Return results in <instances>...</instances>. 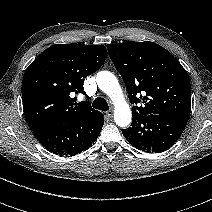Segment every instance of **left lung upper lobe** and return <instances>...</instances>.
Listing matches in <instances>:
<instances>
[{"mask_svg": "<svg viewBox=\"0 0 212 212\" xmlns=\"http://www.w3.org/2000/svg\"><path fill=\"white\" fill-rule=\"evenodd\" d=\"M121 74L133 116L170 115L189 118L191 87L187 72L166 49L153 42L107 45Z\"/></svg>", "mask_w": 212, "mask_h": 212, "instance_id": "1", "label": "left lung upper lobe"}]
</instances>
